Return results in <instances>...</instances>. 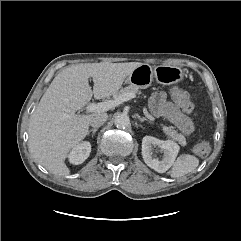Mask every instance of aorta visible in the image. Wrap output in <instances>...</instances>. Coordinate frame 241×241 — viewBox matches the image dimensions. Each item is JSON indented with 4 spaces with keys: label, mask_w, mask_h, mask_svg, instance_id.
<instances>
[{
    "label": "aorta",
    "mask_w": 241,
    "mask_h": 241,
    "mask_svg": "<svg viewBox=\"0 0 241 241\" xmlns=\"http://www.w3.org/2000/svg\"><path fill=\"white\" fill-rule=\"evenodd\" d=\"M114 123L117 128H126L130 125V118L127 114H118L115 117Z\"/></svg>",
    "instance_id": "762f6f07"
}]
</instances>
